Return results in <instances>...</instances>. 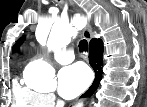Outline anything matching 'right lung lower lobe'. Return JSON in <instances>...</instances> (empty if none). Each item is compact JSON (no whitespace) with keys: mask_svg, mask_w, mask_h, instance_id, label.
Here are the masks:
<instances>
[{"mask_svg":"<svg viewBox=\"0 0 147 107\" xmlns=\"http://www.w3.org/2000/svg\"><path fill=\"white\" fill-rule=\"evenodd\" d=\"M89 49V63L95 72V79L90 88L82 95V97L91 96L97 89L102 78V64H103V42L101 39H92L90 41Z\"/></svg>","mask_w":147,"mask_h":107,"instance_id":"98d812e1","label":"right lung lower lobe"}]
</instances>
